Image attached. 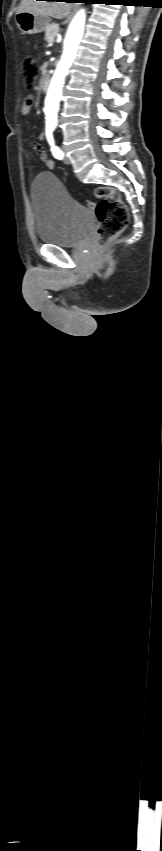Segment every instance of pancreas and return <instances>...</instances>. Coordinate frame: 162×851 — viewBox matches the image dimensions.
<instances>
[{"mask_svg":"<svg viewBox=\"0 0 162 851\" xmlns=\"http://www.w3.org/2000/svg\"><path fill=\"white\" fill-rule=\"evenodd\" d=\"M59 31L58 24H50L45 30V40L48 43H52V39L56 36V33Z\"/></svg>","mask_w":162,"mask_h":851,"instance_id":"obj_1","label":"pancreas"}]
</instances>
